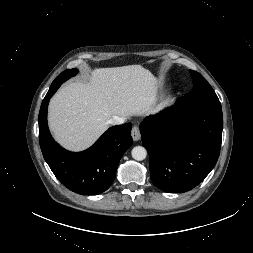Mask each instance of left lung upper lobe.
Listing matches in <instances>:
<instances>
[{
    "instance_id": "left-lung-upper-lobe-1",
    "label": "left lung upper lobe",
    "mask_w": 253,
    "mask_h": 253,
    "mask_svg": "<svg viewBox=\"0 0 253 253\" xmlns=\"http://www.w3.org/2000/svg\"><path fill=\"white\" fill-rule=\"evenodd\" d=\"M192 80L193 89L184 97L178 99L179 104L184 105H213L221 106L220 101L206 79L196 71L189 70Z\"/></svg>"
}]
</instances>
